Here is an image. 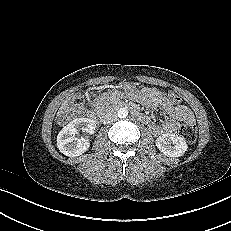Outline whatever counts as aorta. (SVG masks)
<instances>
[{
	"label": "aorta",
	"instance_id": "aorta-1",
	"mask_svg": "<svg viewBox=\"0 0 231 231\" xmlns=\"http://www.w3.org/2000/svg\"><path fill=\"white\" fill-rule=\"evenodd\" d=\"M127 116H128V110H127L126 108H120V109L118 110V117H119V118L124 119V118H126Z\"/></svg>",
	"mask_w": 231,
	"mask_h": 231
}]
</instances>
